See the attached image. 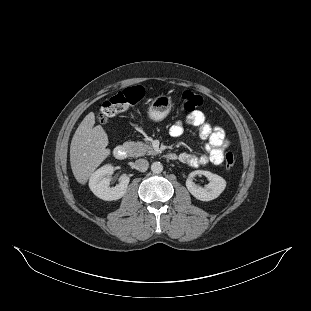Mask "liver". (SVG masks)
Listing matches in <instances>:
<instances>
[{
  "label": "liver",
  "instance_id": "liver-1",
  "mask_svg": "<svg viewBox=\"0 0 311 311\" xmlns=\"http://www.w3.org/2000/svg\"><path fill=\"white\" fill-rule=\"evenodd\" d=\"M90 112L80 123L70 146V161L75 178L85 183L93 170L109 154L108 138L101 125H95Z\"/></svg>",
  "mask_w": 311,
  "mask_h": 311
}]
</instances>
